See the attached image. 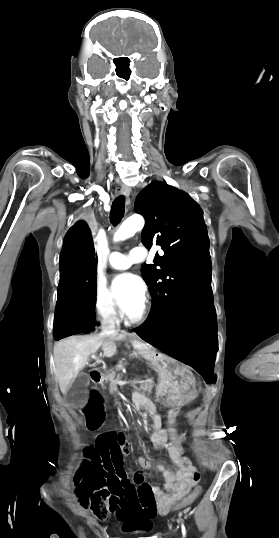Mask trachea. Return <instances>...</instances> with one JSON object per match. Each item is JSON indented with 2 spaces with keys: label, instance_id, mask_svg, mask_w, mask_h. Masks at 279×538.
Returning a JSON list of instances; mask_svg holds the SVG:
<instances>
[{
  "label": "trachea",
  "instance_id": "1",
  "mask_svg": "<svg viewBox=\"0 0 279 538\" xmlns=\"http://www.w3.org/2000/svg\"><path fill=\"white\" fill-rule=\"evenodd\" d=\"M125 213V198L123 195L115 198L112 203L111 212H110V221L112 225H118Z\"/></svg>",
  "mask_w": 279,
  "mask_h": 538
}]
</instances>
